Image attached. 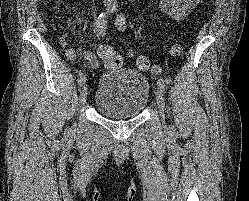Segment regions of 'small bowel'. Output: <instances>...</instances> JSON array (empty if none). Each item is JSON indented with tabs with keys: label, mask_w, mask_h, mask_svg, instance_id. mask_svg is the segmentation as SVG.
<instances>
[{
	"label": "small bowel",
	"mask_w": 249,
	"mask_h": 201,
	"mask_svg": "<svg viewBox=\"0 0 249 201\" xmlns=\"http://www.w3.org/2000/svg\"><path fill=\"white\" fill-rule=\"evenodd\" d=\"M202 2L203 0H160V8L173 20L182 21L188 16L192 9L201 5ZM96 33L100 35L97 30ZM59 43L70 61H73L76 57H79L84 59L91 67H96L98 65L97 58L94 53L90 51H74L71 49L68 44L67 34L60 37Z\"/></svg>",
	"instance_id": "small-bowel-1"
}]
</instances>
